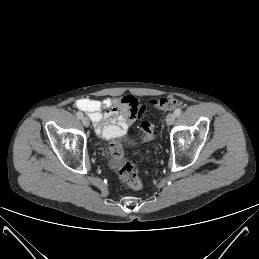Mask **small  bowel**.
<instances>
[{
    "mask_svg": "<svg viewBox=\"0 0 259 259\" xmlns=\"http://www.w3.org/2000/svg\"><path fill=\"white\" fill-rule=\"evenodd\" d=\"M75 105L90 117L96 133L104 139L124 134L138 117L139 102L131 95L102 100L81 98Z\"/></svg>",
    "mask_w": 259,
    "mask_h": 259,
    "instance_id": "c3829d8e",
    "label": "small bowel"
}]
</instances>
